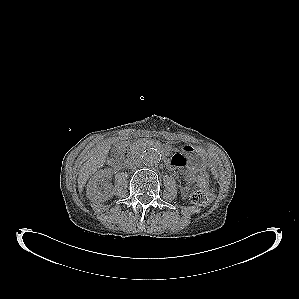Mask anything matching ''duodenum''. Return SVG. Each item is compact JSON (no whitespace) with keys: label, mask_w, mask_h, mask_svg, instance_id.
I'll return each mask as SVG.
<instances>
[{"label":"duodenum","mask_w":299,"mask_h":299,"mask_svg":"<svg viewBox=\"0 0 299 299\" xmlns=\"http://www.w3.org/2000/svg\"><path fill=\"white\" fill-rule=\"evenodd\" d=\"M139 151V146L137 145H130L129 147H127L125 149V151L123 152L122 156L119 158V160L117 161L118 164H124L126 163L129 159H131L132 157L136 156L137 153ZM168 164L170 165V162H168Z\"/></svg>","instance_id":"duodenum-1"}]
</instances>
